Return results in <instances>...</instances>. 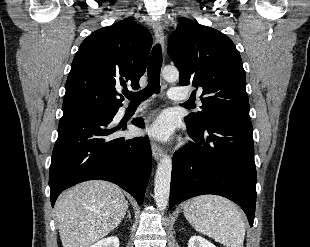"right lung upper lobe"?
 <instances>
[{
    "label": "right lung upper lobe",
    "instance_id": "cb5924a9",
    "mask_svg": "<svg viewBox=\"0 0 310 247\" xmlns=\"http://www.w3.org/2000/svg\"><path fill=\"white\" fill-rule=\"evenodd\" d=\"M152 36L131 19L90 34L80 45L66 82L63 113L77 109L117 110V89L139 88L146 71Z\"/></svg>",
    "mask_w": 310,
    "mask_h": 247
}]
</instances>
